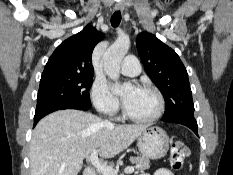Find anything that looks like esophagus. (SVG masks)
<instances>
[{
  "instance_id": "esophagus-1",
  "label": "esophagus",
  "mask_w": 233,
  "mask_h": 175,
  "mask_svg": "<svg viewBox=\"0 0 233 175\" xmlns=\"http://www.w3.org/2000/svg\"><path fill=\"white\" fill-rule=\"evenodd\" d=\"M115 10H117V11H123L124 10L123 4L122 3L115 4Z\"/></svg>"
}]
</instances>
